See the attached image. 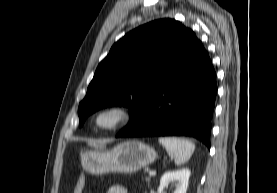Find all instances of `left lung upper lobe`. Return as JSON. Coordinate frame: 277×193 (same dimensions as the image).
Listing matches in <instances>:
<instances>
[{"label":"left lung upper lobe","instance_id":"left-lung-upper-lobe-1","mask_svg":"<svg viewBox=\"0 0 277 193\" xmlns=\"http://www.w3.org/2000/svg\"><path fill=\"white\" fill-rule=\"evenodd\" d=\"M198 41L194 32L173 19L142 25L122 37L98 65L79 104V126L107 106H126L130 120L186 61Z\"/></svg>","mask_w":277,"mask_h":193}]
</instances>
